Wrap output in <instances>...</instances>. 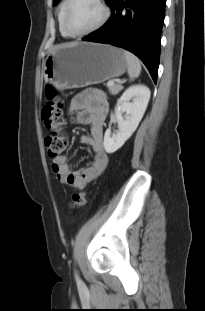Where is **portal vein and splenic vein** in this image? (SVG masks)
<instances>
[{"label":"portal vein and splenic vein","instance_id":"18ae733b","mask_svg":"<svg viewBox=\"0 0 205 311\" xmlns=\"http://www.w3.org/2000/svg\"><path fill=\"white\" fill-rule=\"evenodd\" d=\"M108 84H109V85H114L115 83H114V81H109Z\"/></svg>","mask_w":205,"mask_h":311}]
</instances>
